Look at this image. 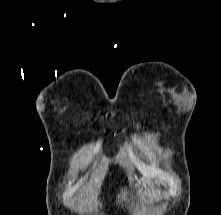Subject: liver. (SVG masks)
<instances>
[{
    "instance_id": "1",
    "label": "liver",
    "mask_w": 221,
    "mask_h": 215,
    "mask_svg": "<svg viewBox=\"0 0 221 215\" xmlns=\"http://www.w3.org/2000/svg\"><path fill=\"white\" fill-rule=\"evenodd\" d=\"M145 194L147 195V192L145 191ZM126 194H125V192H123V190H122V194H121V196H118L119 198H120V200L122 201V200H126V196H125Z\"/></svg>"
}]
</instances>
